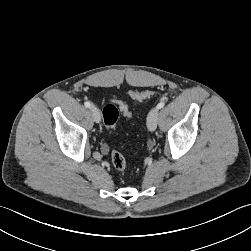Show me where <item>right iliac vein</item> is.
I'll return each instance as SVG.
<instances>
[{
	"label": "right iliac vein",
	"mask_w": 251,
	"mask_h": 251,
	"mask_svg": "<svg viewBox=\"0 0 251 251\" xmlns=\"http://www.w3.org/2000/svg\"><path fill=\"white\" fill-rule=\"evenodd\" d=\"M90 113L92 115V118L96 123H99L101 120L100 113L98 109L95 106L90 107Z\"/></svg>",
	"instance_id": "right-iliac-vein-1"
}]
</instances>
